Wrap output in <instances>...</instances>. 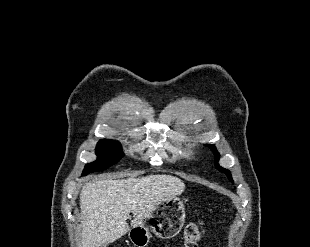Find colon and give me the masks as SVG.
Wrapping results in <instances>:
<instances>
[{"label": "colon", "instance_id": "colon-1", "mask_svg": "<svg viewBox=\"0 0 310 247\" xmlns=\"http://www.w3.org/2000/svg\"><path fill=\"white\" fill-rule=\"evenodd\" d=\"M201 236V224L198 222L189 223L184 229L183 247H198V241Z\"/></svg>", "mask_w": 310, "mask_h": 247}]
</instances>
